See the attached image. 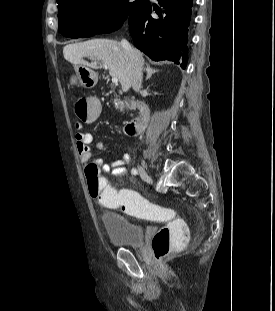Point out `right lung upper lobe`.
<instances>
[{
	"label": "right lung upper lobe",
	"instance_id": "obj_1",
	"mask_svg": "<svg viewBox=\"0 0 275 311\" xmlns=\"http://www.w3.org/2000/svg\"><path fill=\"white\" fill-rule=\"evenodd\" d=\"M67 1H69V0H57L58 6H59L60 4H62V3H64V2H67Z\"/></svg>",
	"mask_w": 275,
	"mask_h": 311
}]
</instances>
